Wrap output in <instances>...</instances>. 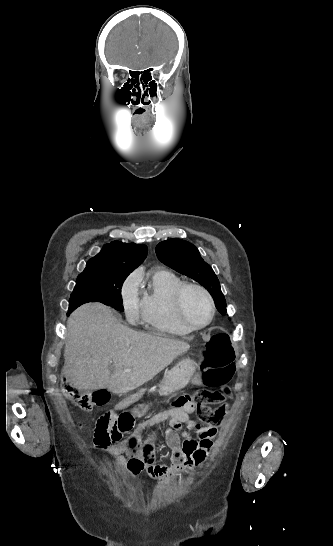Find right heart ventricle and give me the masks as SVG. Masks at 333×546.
<instances>
[{"label":"right heart ventricle","mask_w":333,"mask_h":546,"mask_svg":"<svg viewBox=\"0 0 333 546\" xmlns=\"http://www.w3.org/2000/svg\"><path fill=\"white\" fill-rule=\"evenodd\" d=\"M184 283L178 275L165 269L149 274L141 290V317L148 327L178 337L192 332L181 324L173 305L174 294Z\"/></svg>","instance_id":"1"}]
</instances>
